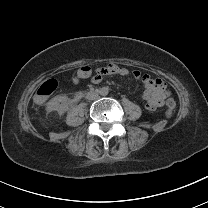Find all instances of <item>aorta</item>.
<instances>
[{
  "mask_svg": "<svg viewBox=\"0 0 208 208\" xmlns=\"http://www.w3.org/2000/svg\"><path fill=\"white\" fill-rule=\"evenodd\" d=\"M98 93L102 97H107L109 95V88L107 86H102L99 88Z\"/></svg>",
  "mask_w": 208,
  "mask_h": 208,
  "instance_id": "aorta-1",
  "label": "aorta"
}]
</instances>
